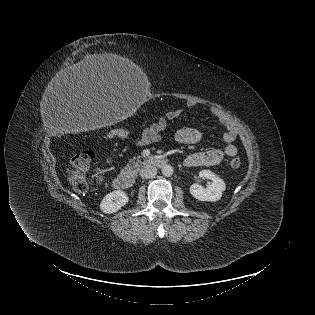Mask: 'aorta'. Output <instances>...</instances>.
Instances as JSON below:
<instances>
[{
  "instance_id": "1",
  "label": "aorta",
  "mask_w": 315,
  "mask_h": 315,
  "mask_svg": "<svg viewBox=\"0 0 315 315\" xmlns=\"http://www.w3.org/2000/svg\"><path fill=\"white\" fill-rule=\"evenodd\" d=\"M162 174L165 176V177H170L172 176L173 174V167L171 165H165L163 168H162Z\"/></svg>"
}]
</instances>
